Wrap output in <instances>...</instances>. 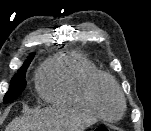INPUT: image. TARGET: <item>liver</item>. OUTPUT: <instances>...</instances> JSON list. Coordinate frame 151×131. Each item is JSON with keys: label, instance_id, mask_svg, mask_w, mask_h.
I'll return each mask as SVG.
<instances>
[{"label": "liver", "instance_id": "6515ba94", "mask_svg": "<svg viewBox=\"0 0 151 131\" xmlns=\"http://www.w3.org/2000/svg\"><path fill=\"white\" fill-rule=\"evenodd\" d=\"M95 122V118L84 113L50 108L15 118L5 131H84Z\"/></svg>", "mask_w": 151, "mask_h": 131}]
</instances>
